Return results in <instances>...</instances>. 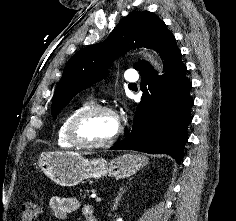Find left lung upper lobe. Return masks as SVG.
<instances>
[{"instance_id":"5c2ea615","label":"left lung upper lobe","mask_w":236,"mask_h":221,"mask_svg":"<svg viewBox=\"0 0 236 221\" xmlns=\"http://www.w3.org/2000/svg\"><path fill=\"white\" fill-rule=\"evenodd\" d=\"M168 29L154 13L133 11L120 21L109 37L79 50L68 61L52 99L54 118L69 101L84 88L108 75L112 61L131 49L146 47L155 49L161 36ZM146 62L135 63L139 70Z\"/></svg>"}]
</instances>
